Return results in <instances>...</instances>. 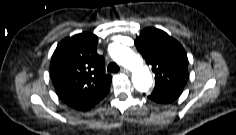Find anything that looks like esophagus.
Returning a JSON list of instances; mask_svg holds the SVG:
<instances>
[{"mask_svg":"<svg viewBox=\"0 0 236 135\" xmlns=\"http://www.w3.org/2000/svg\"><path fill=\"white\" fill-rule=\"evenodd\" d=\"M121 72L124 73V74H129L130 73L129 70L126 69V68H122Z\"/></svg>","mask_w":236,"mask_h":135,"instance_id":"esophagus-1","label":"esophagus"}]
</instances>
